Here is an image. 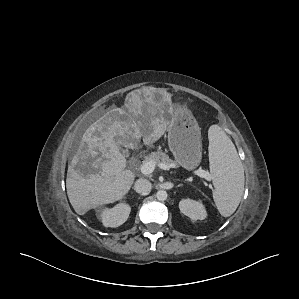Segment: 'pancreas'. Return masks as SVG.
<instances>
[{"label": "pancreas", "instance_id": "obj_1", "mask_svg": "<svg viewBox=\"0 0 299 299\" xmlns=\"http://www.w3.org/2000/svg\"><path fill=\"white\" fill-rule=\"evenodd\" d=\"M147 162H152L155 166L163 163L170 167H176V162L170 159L168 155L160 151L150 153L145 159V163Z\"/></svg>", "mask_w": 299, "mask_h": 299}]
</instances>
